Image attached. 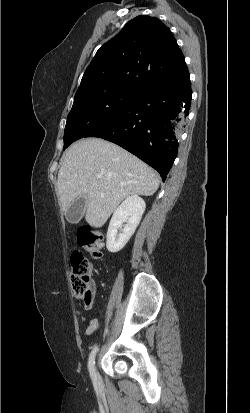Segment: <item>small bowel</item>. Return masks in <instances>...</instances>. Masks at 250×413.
<instances>
[{"label": "small bowel", "mask_w": 250, "mask_h": 413, "mask_svg": "<svg viewBox=\"0 0 250 413\" xmlns=\"http://www.w3.org/2000/svg\"><path fill=\"white\" fill-rule=\"evenodd\" d=\"M97 326H98V321L96 319L89 320L88 325L85 330V335L92 334L96 330Z\"/></svg>", "instance_id": "obj_1"}]
</instances>
